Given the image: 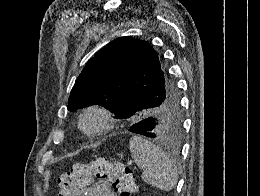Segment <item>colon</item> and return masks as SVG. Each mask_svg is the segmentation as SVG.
<instances>
[{"label":"colon","mask_w":260,"mask_h":196,"mask_svg":"<svg viewBox=\"0 0 260 196\" xmlns=\"http://www.w3.org/2000/svg\"><path fill=\"white\" fill-rule=\"evenodd\" d=\"M109 182L118 192H133L132 170L124 162L95 159L78 164L57 179L58 196H81L87 185Z\"/></svg>","instance_id":"colon-1"}]
</instances>
